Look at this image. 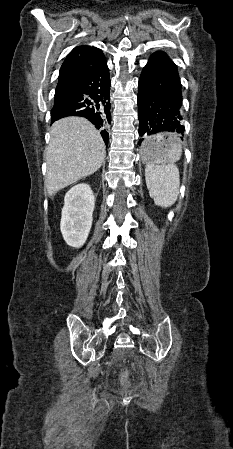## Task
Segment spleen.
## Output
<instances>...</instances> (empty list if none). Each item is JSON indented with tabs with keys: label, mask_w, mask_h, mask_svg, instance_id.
Wrapping results in <instances>:
<instances>
[{
	"label": "spleen",
	"mask_w": 233,
	"mask_h": 449,
	"mask_svg": "<svg viewBox=\"0 0 233 449\" xmlns=\"http://www.w3.org/2000/svg\"><path fill=\"white\" fill-rule=\"evenodd\" d=\"M174 151L177 156L181 152L179 140H174ZM146 185L150 197L154 199L157 206L162 208L173 205L179 194V171L177 167L169 162L149 163L145 169Z\"/></svg>",
	"instance_id": "1"
}]
</instances>
